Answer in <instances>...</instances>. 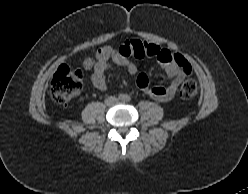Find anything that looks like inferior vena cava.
I'll list each match as a JSON object with an SVG mask.
<instances>
[{
    "label": "inferior vena cava",
    "instance_id": "602c4592",
    "mask_svg": "<svg viewBox=\"0 0 248 194\" xmlns=\"http://www.w3.org/2000/svg\"><path fill=\"white\" fill-rule=\"evenodd\" d=\"M118 102V99L114 96H109L105 99V104L106 105H113Z\"/></svg>",
    "mask_w": 248,
    "mask_h": 194
}]
</instances>
